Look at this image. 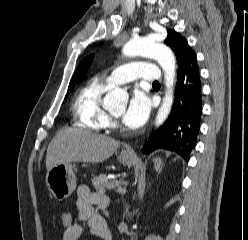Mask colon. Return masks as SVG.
I'll use <instances>...</instances> for the list:
<instances>
[{
    "instance_id": "colon-1",
    "label": "colon",
    "mask_w": 248,
    "mask_h": 240,
    "mask_svg": "<svg viewBox=\"0 0 248 240\" xmlns=\"http://www.w3.org/2000/svg\"><path fill=\"white\" fill-rule=\"evenodd\" d=\"M73 214L70 211H63L60 214V223L66 228L73 223Z\"/></svg>"
}]
</instances>
